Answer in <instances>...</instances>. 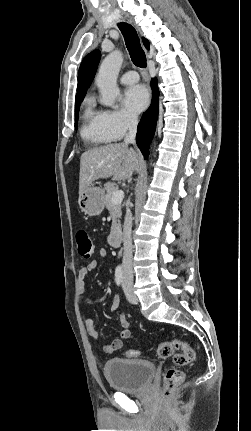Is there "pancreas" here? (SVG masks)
Listing matches in <instances>:
<instances>
[{
    "label": "pancreas",
    "mask_w": 251,
    "mask_h": 431,
    "mask_svg": "<svg viewBox=\"0 0 251 431\" xmlns=\"http://www.w3.org/2000/svg\"><path fill=\"white\" fill-rule=\"evenodd\" d=\"M117 190H118V187L114 183L108 182L104 184V191H106V193L104 194L105 205L112 217L111 231H115L120 228L119 218L122 215L121 203L119 204L112 203V195Z\"/></svg>",
    "instance_id": "obj_1"
}]
</instances>
